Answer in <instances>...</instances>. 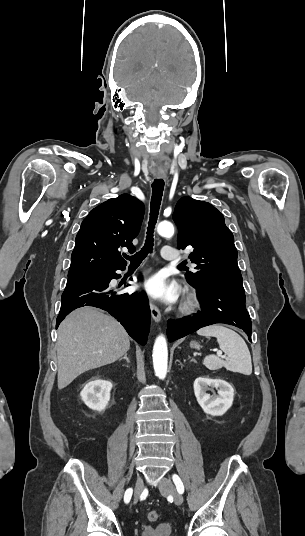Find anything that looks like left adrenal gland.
Segmentation results:
<instances>
[{
    "instance_id": "a2214340",
    "label": "left adrenal gland",
    "mask_w": 305,
    "mask_h": 536,
    "mask_svg": "<svg viewBox=\"0 0 305 536\" xmlns=\"http://www.w3.org/2000/svg\"><path fill=\"white\" fill-rule=\"evenodd\" d=\"M191 362H194L193 358H192Z\"/></svg>"
}]
</instances>
